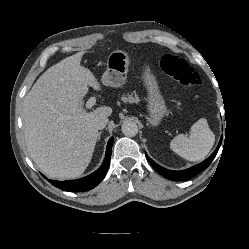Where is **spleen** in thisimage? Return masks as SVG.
I'll return each instance as SVG.
<instances>
[{"mask_svg":"<svg viewBox=\"0 0 249 249\" xmlns=\"http://www.w3.org/2000/svg\"><path fill=\"white\" fill-rule=\"evenodd\" d=\"M190 136L179 134L170 143L173 152L188 161L203 160L215 142V135L210 130L205 118L195 122L189 132Z\"/></svg>","mask_w":249,"mask_h":249,"instance_id":"1","label":"spleen"}]
</instances>
